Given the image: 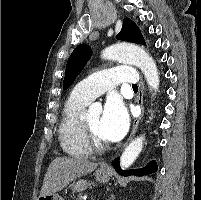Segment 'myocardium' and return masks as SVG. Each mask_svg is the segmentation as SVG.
Instances as JSON below:
<instances>
[{
  "label": "myocardium",
  "mask_w": 201,
  "mask_h": 200,
  "mask_svg": "<svg viewBox=\"0 0 201 200\" xmlns=\"http://www.w3.org/2000/svg\"><path fill=\"white\" fill-rule=\"evenodd\" d=\"M81 126L84 143L91 151H104L107 149V142L100 141L89 128L85 120H82Z\"/></svg>",
  "instance_id": "f54148a6"
}]
</instances>
